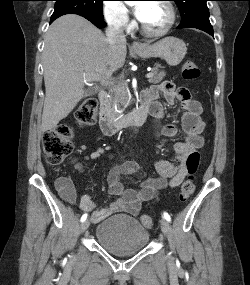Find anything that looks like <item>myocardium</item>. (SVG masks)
<instances>
[{
  "instance_id": "1",
  "label": "myocardium",
  "mask_w": 250,
  "mask_h": 285,
  "mask_svg": "<svg viewBox=\"0 0 250 285\" xmlns=\"http://www.w3.org/2000/svg\"><path fill=\"white\" fill-rule=\"evenodd\" d=\"M158 3H161L167 8L168 13H169V19H168L167 24L161 30H158V31H152V30L147 29L141 22L140 24L141 32L145 36L150 37V38H160V37L165 36L171 30V28L174 26L176 22V10H175L174 5L168 0H161Z\"/></svg>"
}]
</instances>
